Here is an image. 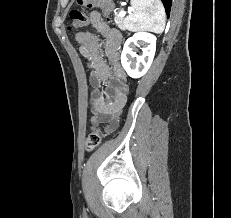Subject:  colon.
I'll list each match as a JSON object with an SVG mask.
<instances>
[{"mask_svg":"<svg viewBox=\"0 0 231 218\" xmlns=\"http://www.w3.org/2000/svg\"><path fill=\"white\" fill-rule=\"evenodd\" d=\"M78 4L87 8H100L107 16V20L109 13L112 10V2L111 0H77ZM71 19V27L72 28H81L85 26L88 22L87 16L80 10H72L69 14ZM101 143V132L100 128H95L88 136L86 140V150L91 152L95 150L99 144Z\"/></svg>","mask_w":231,"mask_h":218,"instance_id":"1","label":"colon"}]
</instances>
